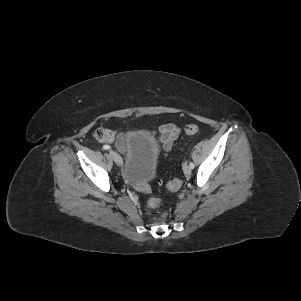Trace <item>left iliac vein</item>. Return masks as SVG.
<instances>
[{
	"label": "left iliac vein",
	"instance_id": "4c4485c4",
	"mask_svg": "<svg viewBox=\"0 0 301 301\" xmlns=\"http://www.w3.org/2000/svg\"><path fill=\"white\" fill-rule=\"evenodd\" d=\"M183 171L185 175H190L191 174V168L188 164L184 163L183 164Z\"/></svg>",
	"mask_w": 301,
	"mask_h": 301
}]
</instances>
